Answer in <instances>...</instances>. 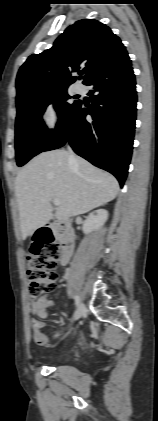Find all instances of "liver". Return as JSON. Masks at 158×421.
<instances>
[{
  "mask_svg": "<svg viewBox=\"0 0 158 421\" xmlns=\"http://www.w3.org/2000/svg\"><path fill=\"white\" fill-rule=\"evenodd\" d=\"M119 191L114 176L65 150L42 152L18 173L15 195L23 239L52 218L51 201L59 200L58 220L84 214L113 200Z\"/></svg>",
  "mask_w": 158,
  "mask_h": 421,
  "instance_id": "1",
  "label": "liver"
}]
</instances>
